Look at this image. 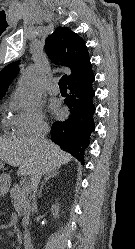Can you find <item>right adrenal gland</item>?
<instances>
[{
    "label": "right adrenal gland",
    "instance_id": "1",
    "mask_svg": "<svg viewBox=\"0 0 135 249\" xmlns=\"http://www.w3.org/2000/svg\"><path fill=\"white\" fill-rule=\"evenodd\" d=\"M58 174H59V171L56 170V169L53 170V171H51V172H48L47 174H45L44 180H43V182L41 183L40 190H39V192H38V197H41V192H42V189H43V186L45 185V183H46L49 179H51V178L57 176Z\"/></svg>",
    "mask_w": 135,
    "mask_h": 249
}]
</instances>
